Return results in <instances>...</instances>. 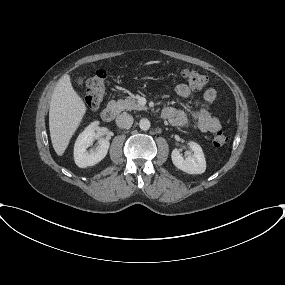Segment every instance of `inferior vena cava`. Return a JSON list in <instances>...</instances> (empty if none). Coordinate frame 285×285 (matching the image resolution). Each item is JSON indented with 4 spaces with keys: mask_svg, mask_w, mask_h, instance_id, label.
<instances>
[{
    "mask_svg": "<svg viewBox=\"0 0 285 285\" xmlns=\"http://www.w3.org/2000/svg\"><path fill=\"white\" fill-rule=\"evenodd\" d=\"M133 117L124 112L116 117V125L120 128H130L133 124Z\"/></svg>",
    "mask_w": 285,
    "mask_h": 285,
    "instance_id": "1",
    "label": "inferior vena cava"
}]
</instances>
